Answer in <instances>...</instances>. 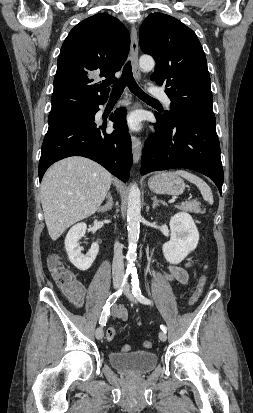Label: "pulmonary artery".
Here are the masks:
<instances>
[{
  "instance_id": "pulmonary-artery-1",
  "label": "pulmonary artery",
  "mask_w": 253,
  "mask_h": 413,
  "mask_svg": "<svg viewBox=\"0 0 253 413\" xmlns=\"http://www.w3.org/2000/svg\"><path fill=\"white\" fill-rule=\"evenodd\" d=\"M150 93H151L153 96L160 98V99L165 103V105H166L167 107L170 106L171 100H170V98L168 97V95L164 92V90H162L161 88H151V89H150Z\"/></svg>"
}]
</instances>
